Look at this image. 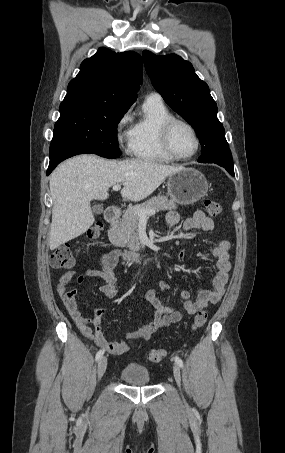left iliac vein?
Masks as SVG:
<instances>
[{
  "instance_id": "1",
  "label": "left iliac vein",
  "mask_w": 285,
  "mask_h": 453,
  "mask_svg": "<svg viewBox=\"0 0 285 453\" xmlns=\"http://www.w3.org/2000/svg\"><path fill=\"white\" fill-rule=\"evenodd\" d=\"M173 374L177 385L181 387V372L178 364L173 366Z\"/></svg>"
}]
</instances>
